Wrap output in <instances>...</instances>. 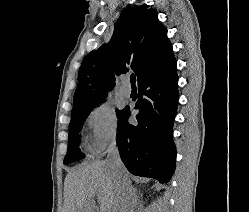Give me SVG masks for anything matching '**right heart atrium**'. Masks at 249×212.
Wrapping results in <instances>:
<instances>
[{
	"label": "right heart atrium",
	"mask_w": 249,
	"mask_h": 212,
	"mask_svg": "<svg viewBox=\"0 0 249 212\" xmlns=\"http://www.w3.org/2000/svg\"><path fill=\"white\" fill-rule=\"evenodd\" d=\"M85 123L88 128V145L93 153L101 155L116 144L119 134L118 119L110 106L101 103L91 108Z\"/></svg>",
	"instance_id": "1"
}]
</instances>
